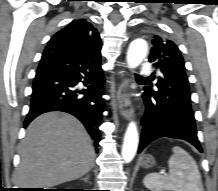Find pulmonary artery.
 I'll list each match as a JSON object with an SVG mask.
<instances>
[{
	"label": "pulmonary artery",
	"instance_id": "1",
	"mask_svg": "<svg viewBox=\"0 0 218 191\" xmlns=\"http://www.w3.org/2000/svg\"><path fill=\"white\" fill-rule=\"evenodd\" d=\"M152 72V67L149 63H145L140 70L142 76H150Z\"/></svg>",
	"mask_w": 218,
	"mask_h": 191
}]
</instances>
